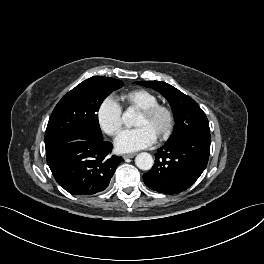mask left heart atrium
<instances>
[{
	"mask_svg": "<svg viewBox=\"0 0 264 264\" xmlns=\"http://www.w3.org/2000/svg\"><path fill=\"white\" fill-rule=\"evenodd\" d=\"M155 141L156 137L146 127H138L123 131L116 139L115 147L121 153H131L148 148Z\"/></svg>",
	"mask_w": 264,
	"mask_h": 264,
	"instance_id": "1",
	"label": "left heart atrium"
}]
</instances>
